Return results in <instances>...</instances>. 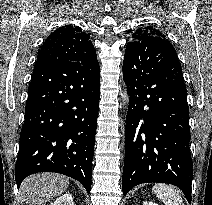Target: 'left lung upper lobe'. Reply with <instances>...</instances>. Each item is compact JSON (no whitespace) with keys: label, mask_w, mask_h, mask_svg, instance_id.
Here are the masks:
<instances>
[{"label":"left lung upper lobe","mask_w":212,"mask_h":205,"mask_svg":"<svg viewBox=\"0 0 212 205\" xmlns=\"http://www.w3.org/2000/svg\"><path fill=\"white\" fill-rule=\"evenodd\" d=\"M149 36H156V37H161L166 39L165 35H163L162 32H160L158 29L147 26V27H144L143 29L141 28L137 29L136 32L132 35V38L129 42L140 41ZM126 50H127V46H126Z\"/></svg>","instance_id":"left-lung-upper-lobe-1"}]
</instances>
